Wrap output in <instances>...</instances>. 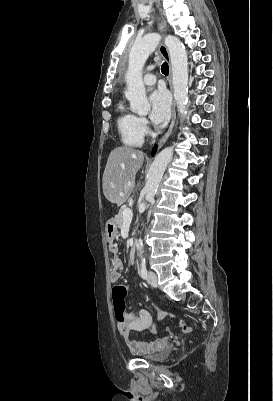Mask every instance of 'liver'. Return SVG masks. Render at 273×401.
<instances>
[{
	"label": "liver",
	"instance_id": "liver-1",
	"mask_svg": "<svg viewBox=\"0 0 273 401\" xmlns=\"http://www.w3.org/2000/svg\"><path fill=\"white\" fill-rule=\"evenodd\" d=\"M144 160L142 150L117 146L111 150L103 174V192L110 203L118 207L126 203L135 186V174ZM124 192V194H120Z\"/></svg>",
	"mask_w": 273,
	"mask_h": 401
}]
</instances>
